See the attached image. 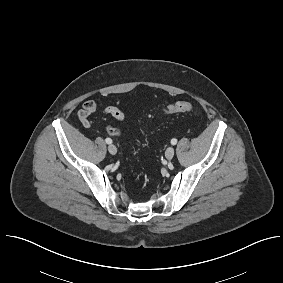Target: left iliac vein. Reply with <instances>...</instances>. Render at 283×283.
<instances>
[{
  "instance_id": "left-iliac-vein-1",
  "label": "left iliac vein",
  "mask_w": 283,
  "mask_h": 283,
  "mask_svg": "<svg viewBox=\"0 0 283 283\" xmlns=\"http://www.w3.org/2000/svg\"><path fill=\"white\" fill-rule=\"evenodd\" d=\"M175 154V150L173 147H168L166 152H165V157L168 159V160H171L173 158Z\"/></svg>"
}]
</instances>
